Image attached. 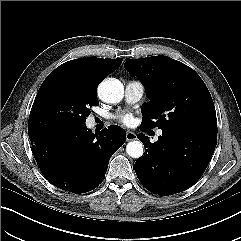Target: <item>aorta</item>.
I'll return each mask as SVG.
<instances>
[{"instance_id":"1","label":"aorta","mask_w":241,"mask_h":241,"mask_svg":"<svg viewBox=\"0 0 241 241\" xmlns=\"http://www.w3.org/2000/svg\"><path fill=\"white\" fill-rule=\"evenodd\" d=\"M98 94L106 103H118L123 98L124 87L117 79H107L99 85ZM143 149L142 142L138 140L131 141L126 146V152L132 158H140L143 155Z\"/></svg>"}]
</instances>
